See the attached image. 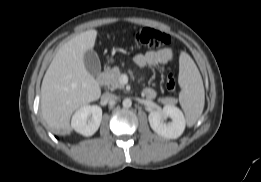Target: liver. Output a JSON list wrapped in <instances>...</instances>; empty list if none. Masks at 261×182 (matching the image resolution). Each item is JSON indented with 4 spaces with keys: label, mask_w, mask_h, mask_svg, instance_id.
Listing matches in <instances>:
<instances>
[{
    "label": "liver",
    "mask_w": 261,
    "mask_h": 182,
    "mask_svg": "<svg viewBox=\"0 0 261 182\" xmlns=\"http://www.w3.org/2000/svg\"><path fill=\"white\" fill-rule=\"evenodd\" d=\"M97 31L87 30L63 44L49 65L41 85V111L50 128L70 132L75 110L100 98L101 89L84 65Z\"/></svg>",
    "instance_id": "obj_1"
}]
</instances>
